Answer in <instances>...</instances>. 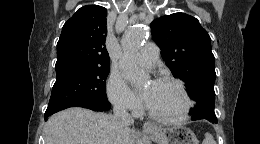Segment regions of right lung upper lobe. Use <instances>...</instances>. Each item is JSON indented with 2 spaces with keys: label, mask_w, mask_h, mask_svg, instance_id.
<instances>
[{
  "label": "right lung upper lobe",
  "mask_w": 260,
  "mask_h": 144,
  "mask_svg": "<svg viewBox=\"0 0 260 144\" xmlns=\"http://www.w3.org/2000/svg\"><path fill=\"white\" fill-rule=\"evenodd\" d=\"M106 8L87 5L80 8L63 26L57 43L55 68L63 66L110 67L105 47Z\"/></svg>",
  "instance_id": "obj_1"
}]
</instances>
